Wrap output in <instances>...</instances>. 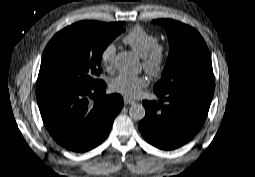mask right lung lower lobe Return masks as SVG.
<instances>
[{
	"mask_svg": "<svg viewBox=\"0 0 255 177\" xmlns=\"http://www.w3.org/2000/svg\"><path fill=\"white\" fill-rule=\"evenodd\" d=\"M105 88L104 81L92 88L61 85L37 88L42 120L58 144L75 152H86L108 136L123 99L118 94L105 95ZM91 98H97L94 104Z\"/></svg>",
	"mask_w": 255,
	"mask_h": 177,
	"instance_id": "obj_1",
	"label": "right lung lower lobe"
}]
</instances>
